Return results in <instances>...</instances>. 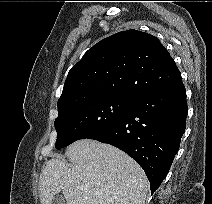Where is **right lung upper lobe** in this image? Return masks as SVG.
<instances>
[{
    "label": "right lung upper lobe",
    "mask_w": 212,
    "mask_h": 204,
    "mask_svg": "<svg viewBox=\"0 0 212 204\" xmlns=\"http://www.w3.org/2000/svg\"><path fill=\"white\" fill-rule=\"evenodd\" d=\"M179 80L174 60L156 37L122 31L95 44L70 69L57 107L106 96L135 99Z\"/></svg>",
    "instance_id": "cb5924a9"
}]
</instances>
